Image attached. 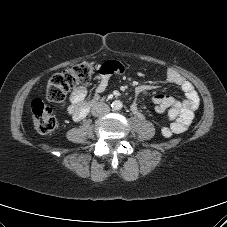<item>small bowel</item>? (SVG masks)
Instances as JSON below:
<instances>
[{
  "label": "small bowel",
  "instance_id": "small-bowel-1",
  "mask_svg": "<svg viewBox=\"0 0 227 227\" xmlns=\"http://www.w3.org/2000/svg\"><path fill=\"white\" fill-rule=\"evenodd\" d=\"M123 67L116 61L105 62L101 66V76L96 87L95 95L99 97L107 88L110 77L113 74L123 73ZM167 81L171 84L179 86L184 92L185 99L179 101L169 95L156 94L152 101L157 112H166L171 124L162 129L164 137H171L175 134L185 132L191 124L194 112L198 109L200 98L193 84L184 78L174 69L167 70ZM154 87L150 85H141L136 88V97L152 90ZM87 88L83 85L73 89L70 95V105L67 109L70 116L76 120H82L88 113L92 101L86 100ZM132 111L139 117H143L137 100L132 104Z\"/></svg>",
  "mask_w": 227,
  "mask_h": 227
}]
</instances>
